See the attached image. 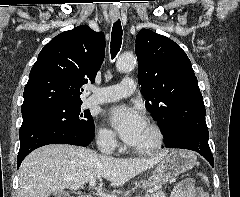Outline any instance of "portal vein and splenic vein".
<instances>
[{
  "label": "portal vein and splenic vein",
  "mask_w": 240,
  "mask_h": 197,
  "mask_svg": "<svg viewBox=\"0 0 240 197\" xmlns=\"http://www.w3.org/2000/svg\"><path fill=\"white\" fill-rule=\"evenodd\" d=\"M96 184V179H91L90 181H89V185L90 186H94Z\"/></svg>",
  "instance_id": "18ae733b"
}]
</instances>
